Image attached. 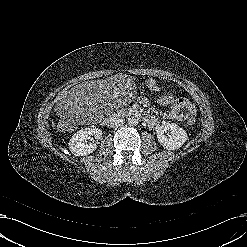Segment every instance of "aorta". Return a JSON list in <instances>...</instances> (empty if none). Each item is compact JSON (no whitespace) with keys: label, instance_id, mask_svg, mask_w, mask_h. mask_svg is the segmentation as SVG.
Returning a JSON list of instances; mask_svg holds the SVG:
<instances>
[{"label":"aorta","instance_id":"762f6f07","mask_svg":"<svg viewBox=\"0 0 247 247\" xmlns=\"http://www.w3.org/2000/svg\"><path fill=\"white\" fill-rule=\"evenodd\" d=\"M127 121L129 125L136 126L139 122V119L137 116H130Z\"/></svg>","mask_w":247,"mask_h":247}]
</instances>
